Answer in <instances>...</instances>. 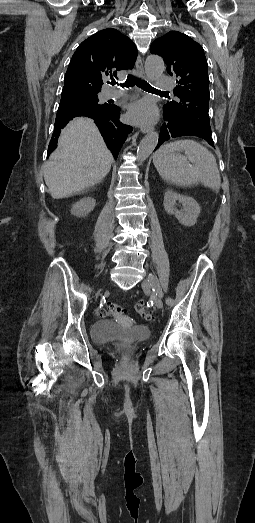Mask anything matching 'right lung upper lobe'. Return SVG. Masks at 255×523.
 I'll use <instances>...</instances> for the list:
<instances>
[{"mask_svg":"<svg viewBox=\"0 0 255 523\" xmlns=\"http://www.w3.org/2000/svg\"><path fill=\"white\" fill-rule=\"evenodd\" d=\"M137 57L135 44L116 29H104L83 41L73 54L64 78L61 101L55 120V130L48 146L49 155L57 146L61 129L76 116L94 119L114 158L132 127L123 124L120 108L114 104L99 103L97 95L107 78L121 70L132 69ZM90 98V107L77 108L73 98Z\"/></svg>","mask_w":255,"mask_h":523,"instance_id":"obj_1","label":"right lung upper lobe"}]
</instances>
